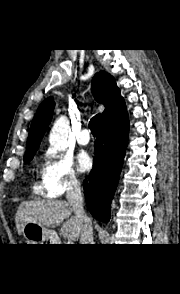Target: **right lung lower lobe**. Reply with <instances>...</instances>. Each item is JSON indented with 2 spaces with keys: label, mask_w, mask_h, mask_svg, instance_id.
Here are the masks:
<instances>
[{
  "label": "right lung lower lobe",
  "mask_w": 180,
  "mask_h": 294,
  "mask_svg": "<svg viewBox=\"0 0 180 294\" xmlns=\"http://www.w3.org/2000/svg\"><path fill=\"white\" fill-rule=\"evenodd\" d=\"M128 132V113L123 101L102 117L93 169L88 181H84L87 207L102 222L110 219V204L119 180Z\"/></svg>",
  "instance_id": "1"
}]
</instances>
